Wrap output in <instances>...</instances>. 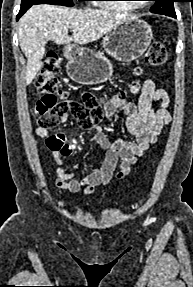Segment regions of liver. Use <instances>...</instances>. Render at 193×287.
<instances>
[{"mask_svg": "<svg viewBox=\"0 0 193 287\" xmlns=\"http://www.w3.org/2000/svg\"><path fill=\"white\" fill-rule=\"evenodd\" d=\"M135 16L97 9H72L55 5L32 6L19 20L18 39L27 58L26 85H29L42 68L45 44L85 45L97 41L119 24ZM75 29L72 36L69 30Z\"/></svg>", "mask_w": 193, "mask_h": 287, "instance_id": "liver-1", "label": "liver"}]
</instances>
